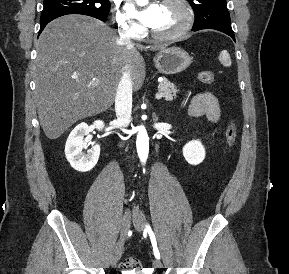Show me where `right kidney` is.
<instances>
[{"label":"right kidney","mask_w":289,"mask_h":274,"mask_svg":"<svg viewBox=\"0 0 289 274\" xmlns=\"http://www.w3.org/2000/svg\"><path fill=\"white\" fill-rule=\"evenodd\" d=\"M103 128L104 122L96 120L92 126L82 122L71 131L66 141L65 155L72 168L79 172H87L95 167L100 155V145L96 144L84 152L83 148L87 144L84 136H87L93 129L100 131Z\"/></svg>","instance_id":"obj_1"}]
</instances>
